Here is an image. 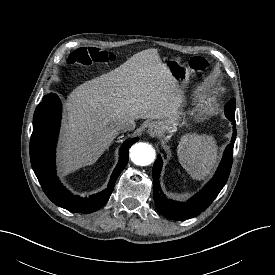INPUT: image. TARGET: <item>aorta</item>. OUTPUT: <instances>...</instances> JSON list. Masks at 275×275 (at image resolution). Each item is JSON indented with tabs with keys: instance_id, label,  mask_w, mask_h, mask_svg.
Masks as SVG:
<instances>
[{
	"instance_id": "1",
	"label": "aorta",
	"mask_w": 275,
	"mask_h": 275,
	"mask_svg": "<svg viewBox=\"0 0 275 275\" xmlns=\"http://www.w3.org/2000/svg\"><path fill=\"white\" fill-rule=\"evenodd\" d=\"M155 158V150L148 143H136L130 149V159L136 165H149L155 160Z\"/></svg>"
}]
</instances>
